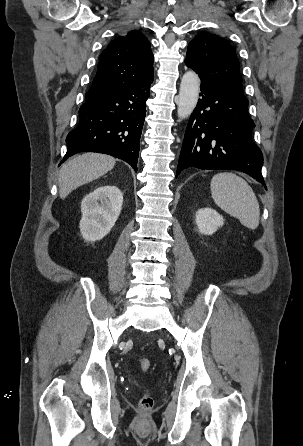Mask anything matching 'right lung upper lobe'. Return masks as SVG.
<instances>
[{"mask_svg": "<svg viewBox=\"0 0 303 446\" xmlns=\"http://www.w3.org/2000/svg\"><path fill=\"white\" fill-rule=\"evenodd\" d=\"M153 54L147 38L131 31L111 41L99 56V66L86 99L153 77Z\"/></svg>", "mask_w": 303, "mask_h": 446, "instance_id": "1", "label": "right lung upper lobe"}]
</instances>
